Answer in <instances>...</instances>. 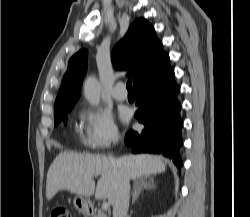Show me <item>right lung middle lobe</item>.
<instances>
[{
  "label": "right lung middle lobe",
  "mask_w": 250,
  "mask_h": 217,
  "mask_svg": "<svg viewBox=\"0 0 250 217\" xmlns=\"http://www.w3.org/2000/svg\"><path fill=\"white\" fill-rule=\"evenodd\" d=\"M67 112H62V113L55 115V126L58 125L61 120H63V122L66 124V121H67L66 113Z\"/></svg>",
  "instance_id": "obj_1"
}]
</instances>
